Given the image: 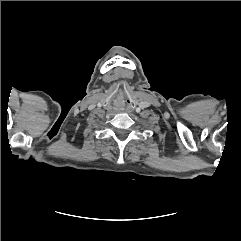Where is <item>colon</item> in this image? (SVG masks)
<instances>
[{"label": "colon", "mask_w": 241, "mask_h": 241, "mask_svg": "<svg viewBox=\"0 0 241 241\" xmlns=\"http://www.w3.org/2000/svg\"><path fill=\"white\" fill-rule=\"evenodd\" d=\"M55 136H56V134L53 132V130H50V131L47 133V138H48L49 140H52Z\"/></svg>", "instance_id": "colon-1"}]
</instances>
